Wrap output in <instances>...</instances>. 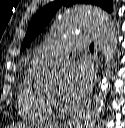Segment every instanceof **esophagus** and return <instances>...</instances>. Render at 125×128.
I'll return each instance as SVG.
<instances>
[{
	"label": "esophagus",
	"mask_w": 125,
	"mask_h": 128,
	"mask_svg": "<svg viewBox=\"0 0 125 128\" xmlns=\"http://www.w3.org/2000/svg\"><path fill=\"white\" fill-rule=\"evenodd\" d=\"M94 68H95V78H94V82H93L92 87H91V93L93 91V87H94L95 81L97 79V73H98V70H99V58H98V46H97V43H95V51H94ZM89 96H90V94H89ZM83 107H84V105H83ZM79 114H80V110L77 111V113L72 117L71 120H68L65 123V127H71V125L77 120Z\"/></svg>",
	"instance_id": "1"
}]
</instances>
